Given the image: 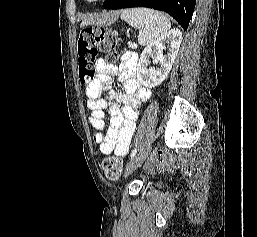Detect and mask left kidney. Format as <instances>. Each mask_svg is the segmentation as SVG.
<instances>
[{"label":"left kidney","instance_id":"5707ae66","mask_svg":"<svg viewBox=\"0 0 257 237\" xmlns=\"http://www.w3.org/2000/svg\"><path fill=\"white\" fill-rule=\"evenodd\" d=\"M182 41V33L179 29H173L149 44L141 53L137 65V79L145 87L153 88L161 84L168 76L176 59ZM167 49L166 55L163 50ZM154 63L160 64L157 70L155 67L148 68L150 58Z\"/></svg>","mask_w":257,"mask_h":237}]
</instances>
